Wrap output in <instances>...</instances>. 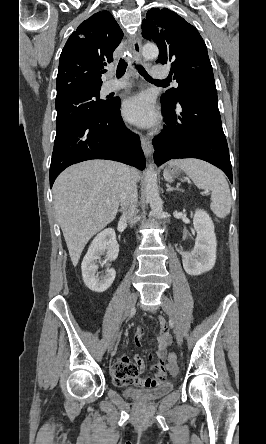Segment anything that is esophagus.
Masks as SVG:
<instances>
[{
  "instance_id": "esophagus-1",
  "label": "esophagus",
  "mask_w": 266,
  "mask_h": 444,
  "mask_svg": "<svg viewBox=\"0 0 266 444\" xmlns=\"http://www.w3.org/2000/svg\"><path fill=\"white\" fill-rule=\"evenodd\" d=\"M141 49H142V44L139 38H134L132 41V52H133V56L134 57H140L141 56ZM141 146L143 149V152L145 154L146 157H150L152 154V144H151V140L144 136L141 135Z\"/></svg>"
}]
</instances>
